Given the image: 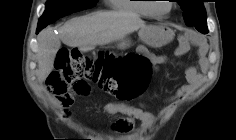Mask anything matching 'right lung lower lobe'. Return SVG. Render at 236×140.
<instances>
[{
    "instance_id": "obj_1",
    "label": "right lung lower lobe",
    "mask_w": 236,
    "mask_h": 140,
    "mask_svg": "<svg viewBox=\"0 0 236 140\" xmlns=\"http://www.w3.org/2000/svg\"><path fill=\"white\" fill-rule=\"evenodd\" d=\"M42 28H37V33L41 30Z\"/></svg>"
}]
</instances>
